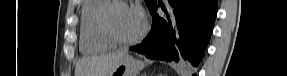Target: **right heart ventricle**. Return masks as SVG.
Segmentation results:
<instances>
[{
    "instance_id": "obj_1",
    "label": "right heart ventricle",
    "mask_w": 287,
    "mask_h": 76,
    "mask_svg": "<svg viewBox=\"0 0 287 76\" xmlns=\"http://www.w3.org/2000/svg\"><path fill=\"white\" fill-rule=\"evenodd\" d=\"M110 0H86L81 9L80 49L84 53H98L108 50L112 44L100 33L98 20Z\"/></svg>"
}]
</instances>
